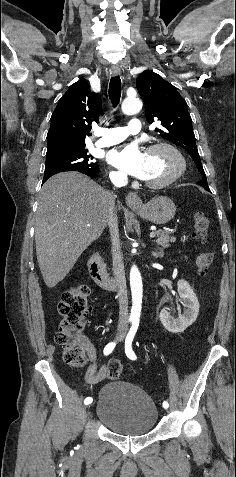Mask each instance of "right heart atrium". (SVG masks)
Instances as JSON below:
<instances>
[{
  "label": "right heart atrium",
  "instance_id": "right-heart-atrium-1",
  "mask_svg": "<svg viewBox=\"0 0 236 477\" xmlns=\"http://www.w3.org/2000/svg\"><path fill=\"white\" fill-rule=\"evenodd\" d=\"M110 177H111V179H113L115 181H119V180L124 179V175L120 171H112L110 173Z\"/></svg>",
  "mask_w": 236,
  "mask_h": 477
}]
</instances>
